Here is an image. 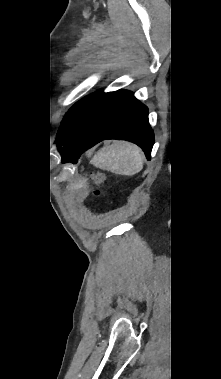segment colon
I'll use <instances>...</instances> for the list:
<instances>
[{"label": "colon", "instance_id": "obj_1", "mask_svg": "<svg viewBox=\"0 0 221 379\" xmlns=\"http://www.w3.org/2000/svg\"><path fill=\"white\" fill-rule=\"evenodd\" d=\"M92 180H93L94 184L99 185L104 181V174L101 172H96L92 175ZM94 194L98 195L99 191L95 190Z\"/></svg>", "mask_w": 221, "mask_h": 379}]
</instances>
